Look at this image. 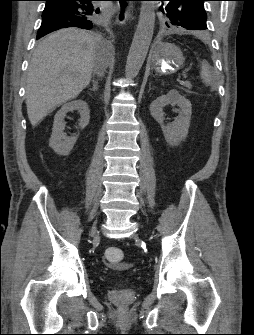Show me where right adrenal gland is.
I'll use <instances>...</instances> for the list:
<instances>
[{
  "instance_id": "right-adrenal-gland-1",
  "label": "right adrenal gland",
  "mask_w": 254,
  "mask_h": 335,
  "mask_svg": "<svg viewBox=\"0 0 254 335\" xmlns=\"http://www.w3.org/2000/svg\"><path fill=\"white\" fill-rule=\"evenodd\" d=\"M91 90L93 92H96L98 90V81L97 80H93V86H92Z\"/></svg>"
}]
</instances>
